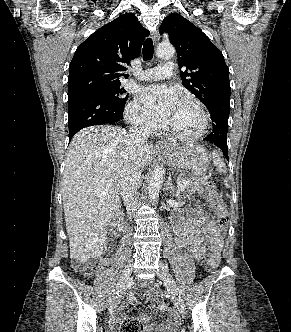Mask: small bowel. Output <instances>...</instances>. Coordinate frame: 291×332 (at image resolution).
Returning <instances> with one entry per match:
<instances>
[{"instance_id": "1", "label": "small bowel", "mask_w": 291, "mask_h": 332, "mask_svg": "<svg viewBox=\"0 0 291 332\" xmlns=\"http://www.w3.org/2000/svg\"><path fill=\"white\" fill-rule=\"evenodd\" d=\"M223 230L208 215H203L195 220H181L176 225V240L187 255L195 260H203L207 251L218 254L222 247ZM208 240L209 248L204 247V242ZM134 292L129 293V300L134 299ZM146 298L157 304L160 311H166L167 305L161 300L159 291L150 286L146 293ZM139 321L144 324L149 323L147 314L142 313L138 317ZM172 323L166 321L161 325L152 326L149 332H171Z\"/></svg>"}]
</instances>
